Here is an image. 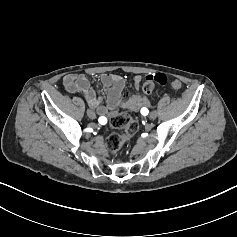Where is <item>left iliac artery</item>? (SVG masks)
<instances>
[{"mask_svg": "<svg viewBox=\"0 0 237 237\" xmlns=\"http://www.w3.org/2000/svg\"><path fill=\"white\" fill-rule=\"evenodd\" d=\"M148 109L147 108H145V107H143L142 109H141V114L142 115H144V116H146L147 114H148Z\"/></svg>", "mask_w": 237, "mask_h": 237, "instance_id": "obj_1", "label": "left iliac artery"}]
</instances>
